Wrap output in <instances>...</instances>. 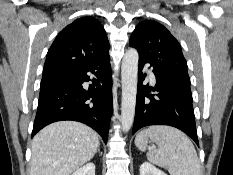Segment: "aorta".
I'll use <instances>...</instances> for the list:
<instances>
[{
    "label": "aorta",
    "instance_id": "obj_1",
    "mask_svg": "<svg viewBox=\"0 0 233 175\" xmlns=\"http://www.w3.org/2000/svg\"><path fill=\"white\" fill-rule=\"evenodd\" d=\"M139 55L136 49H128L123 57L121 66L122 102L121 124L124 132H128L133 124L137 94Z\"/></svg>",
    "mask_w": 233,
    "mask_h": 175
}]
</instances>
